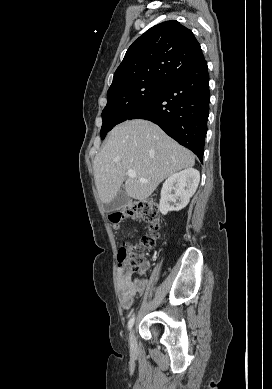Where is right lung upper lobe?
<instances>
[{"label": "right lung upper lobe", "instance_id": "cb5924a9", "mask_svg": "<svg viewBox=\"0 0 272 389\" xmlns=\"http://www.w3.org/2000/svg\"><path fill=\"white\" fill-rule=\"evenodd\" d=\"M203 60L192 31L177 21H166L133 42L115 71L109 90L143 80L166 83Z\"/></svg>", "mask_w": 272, "mask_h": 389}]
</instances>
